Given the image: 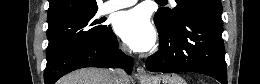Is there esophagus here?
Segmentation results:
<instances>
[{"label": "esophagus", "mask_w": 260, "mask_h": 84, "mask_svg": "<svg viewBox=\"0 0 260 84\" xmlns=\"http://www.w3.org/2000/svg\"><path fill=\"white\" fill-rule=\"evenodd\" d=\"M137 76L140 81H144L149 78L148 73L141 67L137 68Z\"/></svg>", "instance_id": "1"}]
</instances>
